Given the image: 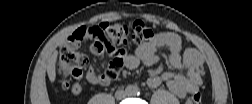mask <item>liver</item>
I'll return each instance as SVG.
<instances>
[{"label":"liver","instance_id":"6515ba94","mask_svg":"<svg viewBox=\"0 0 252 104\" xmlns=\"http://www.w3.org/2000/svg\"><path fill=\"white\" fill-rule=\"evenodd\" d=\"M68 34H64L60 40L58 41V44H62L63 41L66 39ZM58 52L56 50L53 51L51 56L48 59L47 64V74L49 77V80L53 83L56 79V62H57Z\"/></svg>","mask_w":252,"mask_h":104}]
</instances>
